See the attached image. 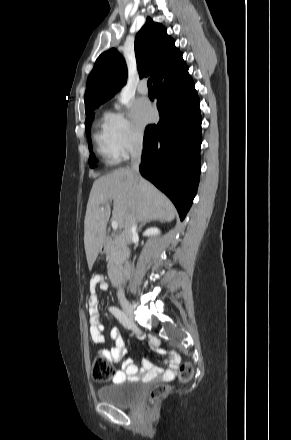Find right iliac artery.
Masks as SVG:
<instances>
[{
	"label": "right iliac artery",
	"instance_id": "obj_1",
	"mask_svg": "<svg viewBox=\"0 0 291 440\" xmlns=\"http://www.w3.org/2000/svg\"><path fill=\"white\" fill-rule=\"evenodd\" d=\"M110 312L119 320V322L126 328L130 329L132 323L128 316L117 307H110Z\"/></svg>",
	"mask_w": 291,
	"mask_h": 440
}]
</instances>
